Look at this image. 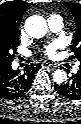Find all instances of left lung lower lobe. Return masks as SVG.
Returning <instances> with one entry per match:
<instances>
[{
    "label": "left lung lower lobe",
    "instance_id": "0a47b994",
    "mask_svg": "<svg viewBox=\"0 0 81 124\" xmlns=\"http://www.w3.org/2000/svg\"><path fill=\"white\" fill-rule=\"evenodd\" d=\"M59 95L65 96L70 100H76L81 98V71L72 75L69 81L63 85L54 86Z\"/></svg>",
    "mask_w": 81,
    "mask_h": 124
}]
</instances>
